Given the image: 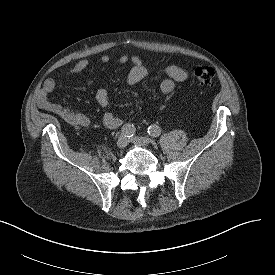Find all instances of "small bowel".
<instances>
[{"instance_id": "obj_1", "label": "small bowel", "mask_w": 275, "mask_h": 275, "mask_svg": "<svg viewBox=\"0 0 275 275\" xmlns=\"http://www.w3.org/2000/svg\"><path fill=\"white\" fill-rule=\"evenodd\" d=\"M119 62H131L132 67L126 76V83L128 85H135L143 80L149 72V68L143 63L140 57L121 55L118 58ZM103 63L110 61V56L104 54L101 57ZM90 64L89 59L83 58L79 60L73 67L63 73V78L68 79L82 71H84ZM166 77L160 82V90L163 94H170L174 91L176 83L184 82L188 79V73L183 68L176 65H168L164 69ZM56 87V80L48 78L45 80L42 89L38 95V104L40 107L56 114L65 122L79 127H85L90 124V118L83 112L76 109L62 107L59 104L52 103L48 100V94ZM97 103L106 108L109 104V92L107 88H100L95 93ZM103 123L109 129H117L122 125V120L114 115L111 111H105L103 114Z\"/></svg>"}]
</instances>
